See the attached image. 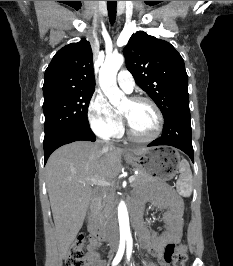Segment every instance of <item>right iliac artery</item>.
<instances>
[{
	"mask_svg": "<svg viewBox=\"0 0 233 266\" xmlns=\"http://www.w3.org/2000/svg\"><path fill=\"white\" fill-rule=\"evenodd\" d=\"M125 249V239H120L119 249L117 254L112 262V266H116L122 259Z\"/></svg>",
	"mask_w": 233,
	"mask_h": 266,
	"instance_id": "82829eb1",
	"label": "right iliac artery"
}]
</instances>
